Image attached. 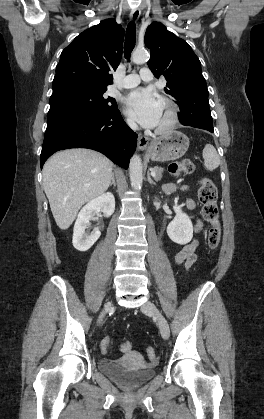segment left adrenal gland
<instances>
[{"label": "left adrenal gland", "instance_id": "a2214340", "mask_svg": "<svg viewBox=\"0 0 264 419\" xmlns=\"http://www.w3.org/2000/svg\"><path fill=\"white\" fill-rule=\"evenodd\" d=\"M147 178H148V182L150 183V184H156L153 180H152V178H151V176H150V174L148 173V176H147Z\"/></svg>", "mask_w": 264, "mask_h": 419}]
</instances>
